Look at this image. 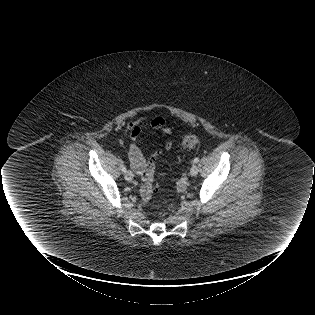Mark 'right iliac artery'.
<instances>
[{
  "label": "right iliac artery",
  "mask_w": 315,
  "mask_h": 315,
  "mask_svg": "<svg viewBox=\"0 0 315 315\" xmlns=\"http://www.w3.org/2000/svg\"><path fill=\"white\" fill-rule=\"evenodd\" d=\"M122 172H123V173H126V166H123V167H122Z\"/></svg>",
  "instance_id": "82829eb1"
}]
</instances>
